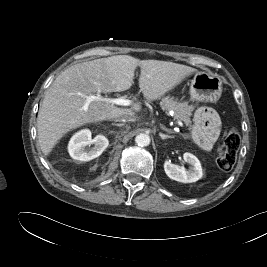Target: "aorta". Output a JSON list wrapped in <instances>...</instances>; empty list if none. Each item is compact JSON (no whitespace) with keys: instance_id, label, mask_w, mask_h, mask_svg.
<instances>
[{"instance_id":"aorta-1","label":"aorta","mask_w":267,"mask_h":267,"mask_svg":"<svg viewBox=\"0 0 267 267\" xmlns=\"http://www.w3.org/2000/svg\"><path fill=\"white\" fill-rule=\"evenodd\" d=\"M135 142L140 147H145L150 144V137L146 133H140L135 137Z\"/></svg>"}]
</instances>
